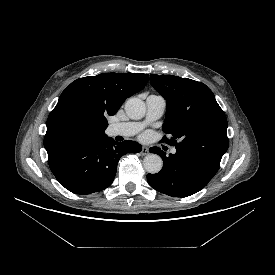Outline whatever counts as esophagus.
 Here are the masks:
<instances>
[{
    "instance_id": "1",
    "label": "esophagus",
    "mask_w": 275,
    "mask_h": 275,
    "mask_svg": "<svg viewBox=\"0 0 275 275\" xmlns=\"http://www.w3.org/2000/svg\"><path fill=\"white\" fill-rule=\"evenodd\" d=\"M149 153V150L147 147H143L142 150H141V155L145 156Z\"/></svg>"
}]
</instances>
